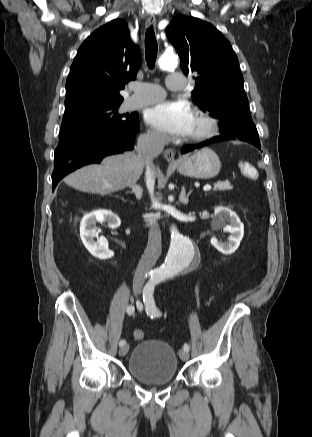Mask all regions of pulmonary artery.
<instances>
[{
  "label": "pulmonary artery",
  "instance_id": "pulmonary-artery-1",
  "mask_svg": "<svg viewBox=\"0 0 312 437\" xmlns=\"http://www.w3.org/2000/svg\"><path fill=\"white\" fill-rule=\"evenodd\" d=\"M186 79L180 73L170 74L166 79V86L170 90H180L185 87ZM134 95L128 101L129 109L147 106L165 97V90L156 84L137 83L133 87Z\"/></svg>",
  "mask_w": 312,
  "mask_h": 437
}]
</instances>
